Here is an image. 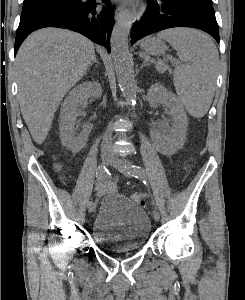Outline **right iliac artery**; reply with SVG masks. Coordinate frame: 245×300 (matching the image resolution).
Wrapping results in <instances>:
<instances>
[{"instance_id":"obj_1","label":"right iliac artery","mask_w":245,"mask_h":300,"mask_svg":"<svg viewBox=\"0 0 245 300\" xmlns=\"http://www.w3.org/2000/svg\"><path fill=\"white\" fill-rule=\"evenodd\" d=\"M109 171L104 165H99L97 172H96V177L99 182H103L106 180L108 177ZM91 205L96 206L98 205V201H91Z\"/></svg>"}]
</instances>
